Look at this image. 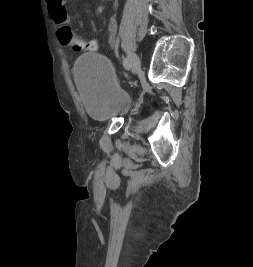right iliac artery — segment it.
I'll list each match as a JSON object with an SVG mask.
<instances>
[{"label": "right iliac artery", "mask_w": 253, "mask_h": 267, "mask_svg": "<svg viewBox=\"0 0 253 267\" xmlns=\"http://www.w3.org/2000/svg\"><path fill=\"white\" fill-rule=\"evenodd\" d=\"M122 64H123L124 68L127 69V70H129L130 67H131L130 60H129L128 57L123 59Z\"/></svg>", "instance_id": "1"}]
</instances>
